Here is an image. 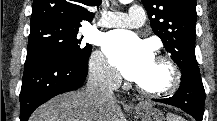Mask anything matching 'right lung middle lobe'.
<instances>
[{"instance_id": "obj_1", "label": "right lung middle lobe", "mask_w": 217, "mask_h": 121, "mask_svg": "<svg viewBox=\"0 0 217 121\" xmlns=\"http://www.w3.org/2000/svg\"><path fill=\"white\" fill-rule=\"evenodd\" d=\"M80 24L43 20L31 24L26 61L37 58L71 59L85 63L92 46L78 35Z\"/></svg>"}]
</instances>
